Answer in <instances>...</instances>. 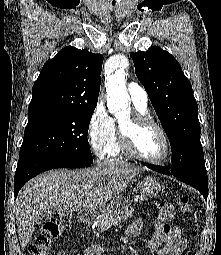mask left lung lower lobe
Returning <instances> with one entry per match:
<instances>
[{
    "mask_svg": "<svg viewBox=\"0 0 221 255\" xmlns=\"http://www.w3.org/2000/svg\"><path fill=\"white\" fill-rule=\"evenodd\" d=\"M148 168L166 174L170 175L169 169L163 166H158V165H151V164H145ZM178 180L191 185L195 189H197L207 200V195H208V183H207V172L206 170L204 171H199L195 173H190V174H182V175H174Z\"/></svg>",
    "mask_w": 221,
    "mask_h": 255,
    "instance_id": "left-lung-lower-lobe-1",
    "label": "left lung lower lobe"
}]
</instances>
